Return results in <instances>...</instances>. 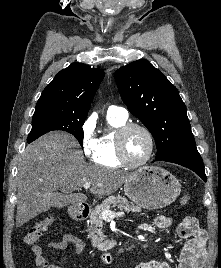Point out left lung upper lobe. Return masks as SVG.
<instances>
[{"label":"left lung upper lobe","instance_id":"1","mask_svg":"<svg viewBox=\"0 0 221 268\" xmlns=\"http://www.w3.org/2000/svg\"><path fill=\"white\" fill-rule=\"evenodd\" d=\"M115 81L128 110L148 128L156 146V161L196 146L178 90L149 61L140 59L115 72Z\"/></svg>","mask_w":221,"mask_h":268}]
</instances>
